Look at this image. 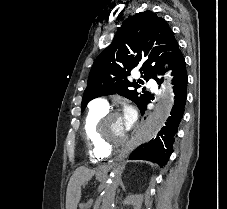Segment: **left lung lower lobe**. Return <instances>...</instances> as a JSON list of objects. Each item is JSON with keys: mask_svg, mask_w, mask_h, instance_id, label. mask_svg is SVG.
Instances as JSON below:
<instances>
[{"mask_svg": "<svg viewBox=\"0 0 227 209\" xmlns=\"http://www.w3.org/2000/svg\"><path fill=\"white\" fill-rule=\"evenodd\" d=\"M169 69H172L174 76L172 84L174 85V105L172 107L170 116L165 123V126L158 132V134L148 143L139 146L130 155V159H144L158 163L163 167L171 155L175 134L177 133L178 125L184 113V106L187 97V72L185 59L182 52L179 50L173 63ZM164 75V74H163ZM163 78L160 77L157 81L159 85ZM152 99V98H151ZM146 107L141 111L143 115Z\"/></svg>", "mask_w": 227, "mask_h": 209, "instance_id": "1", "label": "left lung lower lobe"}]
</instances>
